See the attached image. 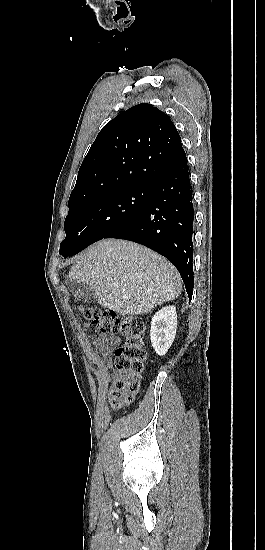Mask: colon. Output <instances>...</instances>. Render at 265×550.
Returning a JSON list of instances; mask_svg holds the SVG:
<instances>
[{"label":"colon","mask_w":265,"mask_h":550,"mask_svg":"<svg viewBox=\"0 0 265 550\" xmlns=\"http://www.w3.org/2000/svg\"><path fill=\"white\" fill-rule=\"evenodd\" d=\"M81 313L90 331L122 335L125 338L124 343L115 349V365L122 377L115 381L111 397L112 407L121 409L133 400L138 390L137 380L146 358V321L139 316L92 307L81 308Z\"/></svg>","instance_id":"colon-1"}]
</instances>
